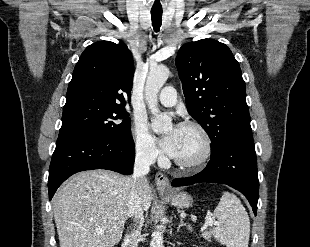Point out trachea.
Wrapping results in <instances>:
<instances>
[{"label": "trachea", "mask_w": 310, "mask_h": 247, "mask_svg": "<svg viewBox=\"0 0 310 247\" xmlns=\"http://www.w3.org/2000/svg\"><path fill=\"white\" fill-rule=\"evenodd\" d=\"M151 20L154 30L158 32L162 23V10H151Z\"/></svg>", "instance_id": "trachea-1"}]
</instances>
